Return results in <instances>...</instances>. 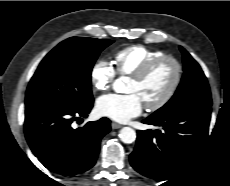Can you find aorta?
I'll return each mask as SVG.
<instances>
[{
  "label": "aorta",
  "mask_w": 230,
  "mask_h": 186,
  "mask_svg": "<svg viewBox=\"0 0 230 186\" xmlns=\"http://www.w3.org/2000/svg\"><path fill=\"white\" fill-rule=\"evenodd\" d=\"M123 86L122 80L117 79L114 83L115 91H120ZM119 137L123 143L130 144L133 143L136 139V132L131 127H123L120 130Z\"/></svg>",
  "instance_id": "762f6f07"
}]
</instances>
